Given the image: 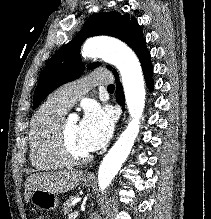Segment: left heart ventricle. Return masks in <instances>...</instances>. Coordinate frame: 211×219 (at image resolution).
I'll return each instance as SVG.
<instances>
[{"mask_svg": "<svg viewBox=\"0 0 211 219\" xmlns=\"http://www.w3.org/2000/svg\"><path fill=\"white\" fill-rule=\"evenodd\" d=\"M67 135L70 145L75 153L83 155L89 153L82 143L79 130V122L74 120L66 121Z\"/></svg>", "mask_w": 211, "mask_h": 219, "instance_id": "b2bd125f", "label": "left heart ventricle"}]
</instances>
